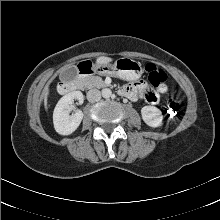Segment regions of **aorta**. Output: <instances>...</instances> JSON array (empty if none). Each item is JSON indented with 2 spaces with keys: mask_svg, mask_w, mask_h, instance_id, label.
Masks as SVG:
<instances>
[{
  "mask_svg": "<svg viewBox=\"0 0 220 220\" xmlns=\"http://www.w3.org/2000/svg\"><path fill=\"white\" fill-rule=\"evenodd\" d=\"M101 94L105 99H107L111 97L112 91L109 88H105L102 90Z\"/></svg>",
  "mask_w": 220,
  "mask_h": 220,
  "instance_id": "aorta-1",
  "label": "aorta"
}]
</instances>
